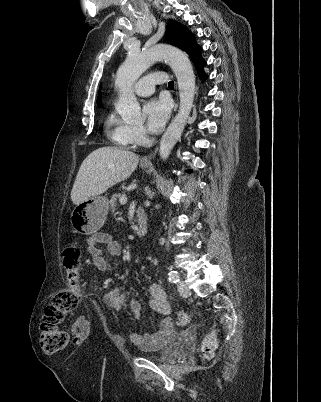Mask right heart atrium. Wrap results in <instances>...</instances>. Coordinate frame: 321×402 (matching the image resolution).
Instances as JSON below:
<instances>
[{
  "label": "right heart atrium",
  "instance_id": "right-heart-atrium-1",
  "mask_svg": "<svg viewBox=\"0 0 321 402\" xmlns=\"http://www.w3.org/2000/svg\"><path fill=\"white\" fill-rule=\"evenodd\" d=\"M132 137L135 145H144L147 142V136L142 126H133Z\"/></svg>",
  "mask_w": 321,
  "mask_h": 402
}]
</instances>
